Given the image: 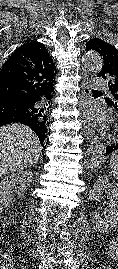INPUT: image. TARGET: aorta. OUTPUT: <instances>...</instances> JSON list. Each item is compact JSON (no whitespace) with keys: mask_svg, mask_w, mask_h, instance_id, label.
Returning <instances> with one entry per match:
<instances>
[{"mask_svg":"<svg viewBox=\"0 0 118 269\" xmlns=\"http://www.w3.org/2000/svg\"><path fill=\"white\" fill-rule=\"evenodd\" d=\"M83 63L85 67L99 71L103 66L102 57L95 52H87L83 56ZM106 155V145L100 138H94L90 144L85 158H84V168L86 170H95L99 168L104 162Z\"/></svg>","mask_w":118,"mask_h":269,"instance_id":"obj_1","label":"aorta"}]
</instances>
